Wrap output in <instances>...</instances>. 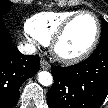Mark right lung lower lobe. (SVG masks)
<instances>
[{"label":"right lung lower lobe","mask_w":108,"mask_h":108,"mask_svg":"<svg viewBox=\"0 0 108 108\" xmlns=\"http://www.w3.org/2000/svg\"><path fill=\"white\" fill-rule=\"evenodd\" d=\"M11 36L0 18V108H11L19 99V88L40 69L39 56H26L11 44Z\"/></svg>","instance_id":"obj_1"}]
</instances>
